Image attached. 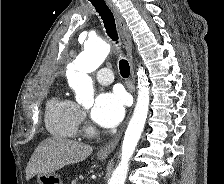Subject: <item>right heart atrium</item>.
Instances as JSON below:
<instances>
[{
  "label": "right heart atrium",
  "instance_id": "right-heart-atrium-1",
  "mask_svg": "<svg viewBox=\"0 0 224 184\" xmlns=\"http://www.w3.org/2000/svg\"><path fill=\"white\" fill-rule=\"evenodd\" d=\"M85 119V113L80 110V121L82 122Z\"/></svg>",
  "mask_w": 224,
  "mask_h": 184
}]
</instances>
